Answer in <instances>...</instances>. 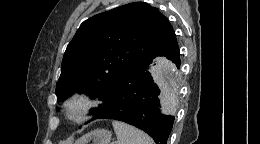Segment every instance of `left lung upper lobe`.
<instances>
[{"label":"left lung upper lobe","instance_id":"1","mask_svg":"<svg viewBox=\"0 0 260 144\" xmlns=\"http://www.w3.org/2000/svg\"><path fill=\"white\" fill-rule=\"evenodd\" d=\"M176 38L168 19L144 2L129 3L84 21L64 53L56 84L58 101L74 92L103 101L97 118L110 105L122 76ZM152 63V62H151Z\"/></svg>","mask_w":260,"mask_h":144}]
</instances>
